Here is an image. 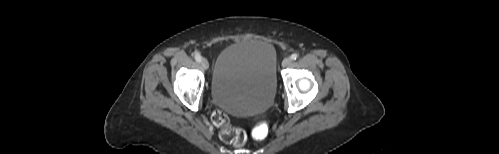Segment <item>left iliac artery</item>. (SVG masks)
<instances>
[{"instance_id":"44dca946","label":"left iliac artery","mask_w":499,"mask_h":154,"mask_svg":"<svg viewBox=\"0 0 499 154\" xmlns=\"http://www.w3.org/2000/svg\"><path fill=\"white\" fill-rule=\"evenodd\" d=\"M291 60H296L298 58V54L297 53H293L291 56H290Z\"/></svg>"}]
</instances>
